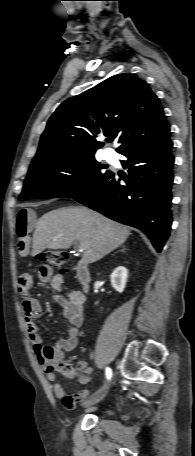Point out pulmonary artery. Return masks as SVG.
Wrapping results in <instances>:
<instances>
[{
  "instance_id": "e3ab8cb5",
  "label": "pulmonary artery",
  "mask_w": 195,
  "mask_h": 456,
  "mask_svg": "<svg viewBox=\"0 0 195 456\" xmlns=\"http://www.w3.org/2000/svg\"><path fill=\"white\" fill-rule=\"evenodd\" d=\"M104 157L107 160H111L113 158V152L111 150H109V149H106L104 151Z\"/></svg>"
}]
</instances>
